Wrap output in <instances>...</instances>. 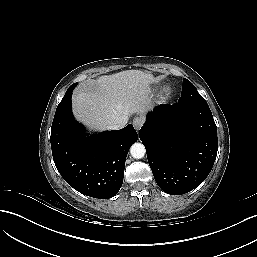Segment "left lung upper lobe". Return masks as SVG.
<instances>
[{
	"mask_svg": "<svg viewBox=\"0 0 257 257\" xmlns=\"http://www.w3.org/2000/svg\"><path fill=\"white\" fill-rule=\"evenodd\" d=\"M199 103L207 104L206 100L198 93L195 86L186 78L183 79V87L181 97L178 104Z\"/></svg>",
	"mask_w": 257,
	"mask_h": 257,
	"instance_id": "1",
	"label": "left lung upper lobe"
}]
</instances>
